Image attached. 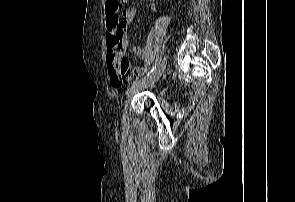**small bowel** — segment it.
I'll return each mask as SVG.
<instances>
[{
    "label": "small bowel",
    "instance_id": "1",
    "mask_svg": "<svg viewBox=\"0 0 295 202\" xmlns=\"http://www.w3.org/2000/svg\"><path fill=\"white\" fill-rule=\"evenodd\" d=\"M155 1V0H151ZM137 11L134 8L126 9L122 14L120 25L117 28L109 29L107 27L106 45H107V61L109 65V75L111 84L118 87L123 81H132L138 76L144 75L147 71L146 67H139L134 72L131 70V64L128 59H124L125 51L129 44L127 27L134 21ZM112 15L106 14L107 22ZM111 32H115L117 39H111ZM134 53L143 58L148 59L149 52L147 49L135 48ZM117 63V67H115ZM114 75H122L121 77H113Z\"/></svg>",
    "mask_w": 295,
    "mask_h": 202
}]
</instances>
